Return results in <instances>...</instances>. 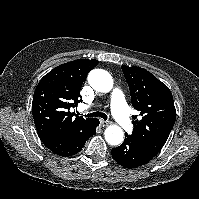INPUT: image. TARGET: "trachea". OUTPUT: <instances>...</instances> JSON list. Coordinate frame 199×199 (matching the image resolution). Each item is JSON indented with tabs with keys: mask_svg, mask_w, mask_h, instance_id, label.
Segmentation results:
<instances>
[{
	"mask_svg": "<svg viewBox=\"0 0 199 199\" xmlns=\"http://www.w3.org/2000/svg\"><path fill=\"white\" fill-rule=\"evenodd\" d=\"M85 117H101L104 120H107V115L105 113L100 112V111L87 114V115H85Z\"/></svg>",
	"mask_w": 199,
	"mask_h": 199,
	"instance_id": "3493384b",
	"label": "trachea"
}]
</instances>
